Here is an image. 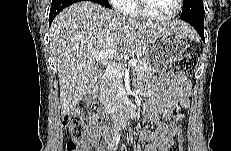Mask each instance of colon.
<instances>
[{"label":"colon","instance_id":"obj_1","mask_svg":"<svg viewBox=\"0 0 231 151\" xmlns=\"http://www.w3.org/2000/svg\"><path fill=\"white\" fill-rule=\"evenodd\" d=\"M197 65V58L194 54H186L181 57L177 63L178 71L190 76L194 73ZM64 125L69 128L72 141L65 146V151H79L80 145L87 140L86 126L84 115L80 109H73L64 118ZM183 130L181 121L175 120L171 123V142L167 147V151H183Z\"/></svg>","mask_w":231,"mask_h":151}]
</instances>
